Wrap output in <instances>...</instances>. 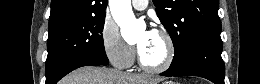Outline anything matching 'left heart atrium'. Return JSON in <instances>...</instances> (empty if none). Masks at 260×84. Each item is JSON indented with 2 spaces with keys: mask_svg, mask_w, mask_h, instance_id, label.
<instances>
[{
  "mask_svg": "<svg viewBox=\"0 0 260 84\" xmlns=\"http://www.w3.org/2000/svg\"><path fill=\"white\" fill-rule=\"evenodd\" d=\"M147 33H148V34H153L154 32H153V31H148Z\"/></svg>",
  "mask_w": 260,
  "mask_h": 84,
  "instance_id": "obj_1",
  "label": "left heart atrium"
}]
</instances>
